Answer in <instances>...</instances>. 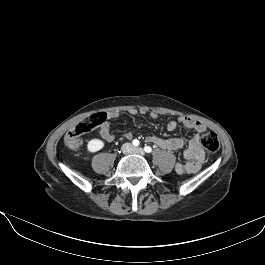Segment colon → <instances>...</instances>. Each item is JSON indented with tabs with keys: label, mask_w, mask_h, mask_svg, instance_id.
I'll return each instance as SVG.
<instances>
[{
	"label": "colon",
	"mask_w": 265,
	"mask_h": 265,
	"mask_svg": "<svg viewBox=\"0 0 265 265\" xmlns=\"http://www.w3.org/2000/svg\"><path fill=\"white\" fill-rule=\"evenodd\" d=\"M105 119V113L96 112L80 122L65 135L64 142L66 146L69 148L79 147L82 144V136L99 126ZM200 143L209 152H216L220 147L219 138L212 131L204 132L200 137Z\"/></svg>",
	"instance_id": "colon-1"
}]
</instances>
